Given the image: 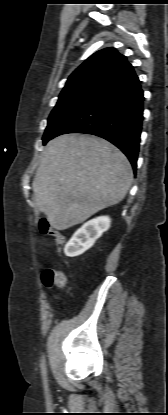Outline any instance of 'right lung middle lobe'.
<instances>
[{"instance_id":"obj_1","label":"right lung middle lobe","mask_w":168,"mask_h":415,"mask_svg":"<svg viewBox=\"0 0 168 415\" xmlns=\"http://www.w3.org/2000/svg\"><path fill=\"white\" fill-rule=\"evenodd\" d=\"M101 92L80 91L59 96L55 108L52 110L46 127L43 143L45 144L71 117Z\"/></svg>"}]
</instances>
